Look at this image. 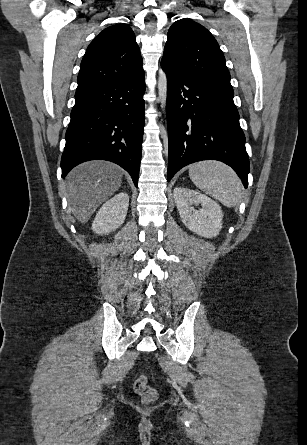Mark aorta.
<instances>
[{
  "instance_id": "obj_1",
  "label": "aorta",
  "mask_w": 307,
  "mask_h": 445,
  "mask_svg": "<svg viewBox=\"0 0 307 445\" xmlns=\"http://www.w3.org/2000/svg\"><path fill=\"white\" fill-rule=\"evenodd\" d=\"M158 94L161 102L162 108L166 106V98H167V78L165 72L163 70H159V78H158Z\"/></svg>"
}]
</instances>
